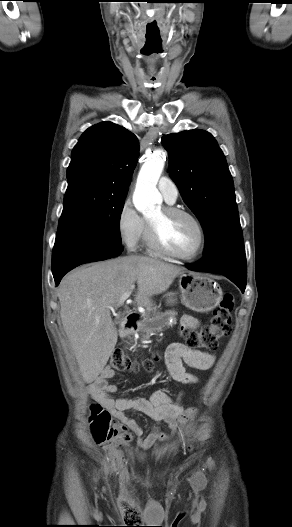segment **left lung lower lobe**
Masks as SVG:
<instances>
[{
    "label": "left lung lower lobe",
    "mask_w": 292,
    "mask_h": 527,
    "mask_svg": "<svg viewBox=\"0 0 292 527\" xmlns=\"http://www.w3.org/2000/svg\"><path fill=\"white\" fill-rule=\"evenodd\" d=\"M193 271L214 272L224 275L244 292L247 280L245 250L225 251L204 257L195 264H186Z\"/></svg>",
    "instance_id": "1"
}]
</instances>
